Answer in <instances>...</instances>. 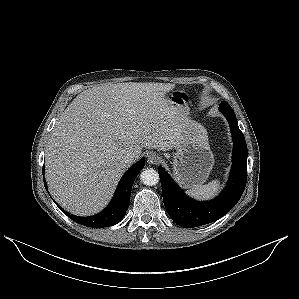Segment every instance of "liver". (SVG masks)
I'll return each mask as SVG.
<instances>
[{"instance_id":"liver-1","label":"liver","mask_w":299,"mask_h":299,"mask_svg":"<svg viewBox=\"0 0 299 299\" xmlns=\"http://www.w3.org/2000/svg\"><path fill=\"white\" fill-rule=\"evenodd\" d=\"M170 83H118L80 93L67 107L48 139L46 179L55 200L79 216L95 214L111 199L142 148H178L188 125V105H172Z\"/></svg>"}]
</instances>
